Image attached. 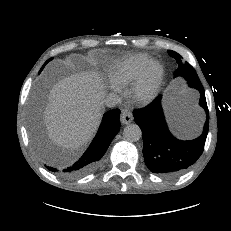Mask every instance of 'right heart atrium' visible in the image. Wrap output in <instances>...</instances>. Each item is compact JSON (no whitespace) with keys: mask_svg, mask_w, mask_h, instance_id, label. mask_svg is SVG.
Wrapping results in <instances>:
<instances>
[{"mask_svg":"<svg viewBox=\"0 0 231 231\" xmlns=\"http://www.w3.org/2000/svg\"><path fill=\"white\" fill-rule=\"evenodd\" d=\"M112 88H113V89H117V87H116L115 85H112Z\"/></svg>","mask_w":231,"mask_h":231,"instance_id":"1","label":"right heart atrium"}]
</instances>
